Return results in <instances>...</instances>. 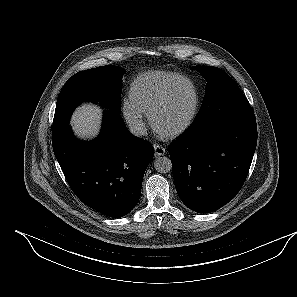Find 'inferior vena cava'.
I'll return each instance as SVG.
<instances>
[{
    "label": "inferior vena cava",
    "instance_id": "1",
    "mask_svg": "<svg viewBox=\"0 0 297 297\" xmlns=\"http://www.w3.org/2000/svg\"><path fill=\"white\" fill-rule=\"evenodd\" d=\"M129 130L135 136H143L147 134L146 126L141 120H134L129 123Z\"/></svg>",
    "mask_w": 297,
    "mask_h": 297
}]
</instances>
